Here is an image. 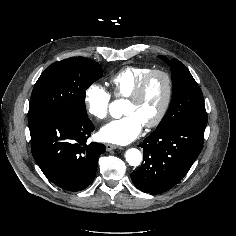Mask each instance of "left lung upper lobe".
Here are the masks:
<instances>
[{
    "mask_svg": "<svg viewBox=\"0 0 236 236\" xmlns=\"http://www.w3.org/2000/svg\"><path fill=\"white\" fill-rule=\"evenodd\" d=\"M171 73V104L156 130L181 123L206 126L207 113L199 85L189 70L177 59L171 61Z\"/></svg>",
    "mask_w": 236,
    "mask_h": 236,
    "instance_id": "1",
    "label": "left lung upper lobe"
}]
</instances>
